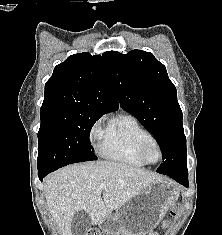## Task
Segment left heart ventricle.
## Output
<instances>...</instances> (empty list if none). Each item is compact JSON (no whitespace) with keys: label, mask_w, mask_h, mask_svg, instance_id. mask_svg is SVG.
<instances>
[{"label":"left heart ventricle","mask_w":222,"mask_h":235,"mask_svg":"<svg viewBox=\"0 0 222 235\" xmlns=\"http://www.w3.org/2000/svg\"><path fill=\"white\" fill-rule=\"evenodd\" d=\"M147 157L150 161H156L159 157V152L155 146H151L147 152Z\"/></svg>","instance_id":"1"}]
</instances>
